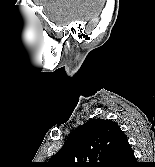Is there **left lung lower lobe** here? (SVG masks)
I'll list each match as a JSON object with an SVG mask.
<instances>
[{"instance_id": "left-lung-lower-lobe-1", "label": "left lung lower lobe", "mask_w": 155, "mask_h": 167, "mask_svg": "<svg viewBox=\"0 0 155 167\" xmlns=\"http://www.w3.org/2000/svg\"><path fill=\"white\" fill-rule=\"evenodd\" d=\"M135 157L127 139L121 142L117 156L110 167H128L130 162H134Z\"/></svg>"}]
</instances>
